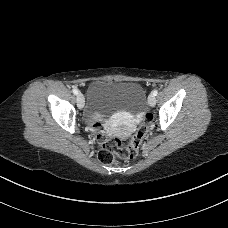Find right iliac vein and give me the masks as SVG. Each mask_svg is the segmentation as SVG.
I'll list each match as a JSON object with an SVG mask.
<instances>
[{
    "label": "right iliac vein",
    "instance_id": "right-iliac-vein-1",
    "mask_svg": "<svg viewBox=\"0 0 228 228\" xmlns=\"http://www.w3.org/2000/svg\"><path fill=\"white\" fill-rule=\"evenodd\" d=\"M85 104V99L82 93H79L77 96V105L79 109H82Z\"/></svg>",
    "mask_w": 228,
    "mask_h": 228
}]
</instances>
